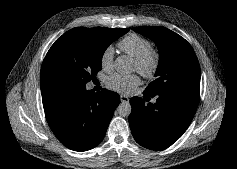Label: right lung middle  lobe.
I'll list each match as a JSON object with an SVG mask.
<instances>
[{
  "label": "right lung middle lobe",
  "instance_id": "dd1d6c3e",
  "mask_svg": "<svg viewBox=\"0 0 237 169\" xmlns=\"http://www.w3.org/2000/svg\"><path fill=\"white\" fill-rule=\"evenodd\" d=\"M128 28L108 32L73 28L63 34L49 49L41 68L40 85L73 84L85 86L101 70L107 47Z\"/></svg>",
  "mask_w": 237,
  "mask_h": 169
}]
</instances>
